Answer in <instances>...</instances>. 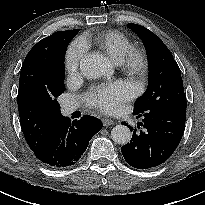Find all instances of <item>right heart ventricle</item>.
I'll list each match as a JSON object with an SVG mask.
<instances>
[{
  "label": "right heart ventricle",
  "mask_w": 205,
  "mask_h": 205,
  "mask_svg": "<svg viewBox=\"0 0 205 205\" xmlns=\"http://www.w3.org/2000/svg\"><path fill=\"white\" fill-rule=\"evenodd\" d=\"M93 41L115 64H120L124 56L133 48L131 40L117 30L98 32L95 34Z\"/></svg>",
  "instance_id": "1"
}]
</instances>
